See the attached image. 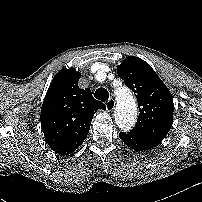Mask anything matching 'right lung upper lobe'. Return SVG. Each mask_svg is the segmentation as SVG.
I'll use <instances>...</instances> for the list:
<instances>
[{
	"instance_id": "right-lung-upper-lobe-1",
	"label": "right lung upper lobe",
	"mask_w": 202,
	"mask_h": 202,
	"mask_svg": "<svg viewBox=\"0 0 202 202\" xmlns=\"http://www.w3.org/2000/svg\"><path fill=\"white\" fill-rule=\"evenodd\" d=\"M80 72L64 68L53 78L41 108V126L46 143L59 155L75 151L88 135L92 118L106 106L80 89Z\"/></svg>"
}]
</instances>
